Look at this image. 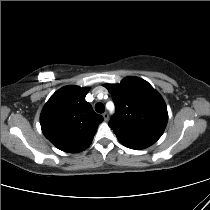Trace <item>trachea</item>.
<instances>
[{
  "instance_id": "1",
  "label": "trachea",
  "mask_w": 210,
  "mask_h": 210,
  "mask_svg": "<svg viewBox=\"0 0 210 210\" xmlns=\"http://www.w3.org/2000/svg\"><path fill=\"white\" fill-rule=\"evenodd\" d=\"M95 110L98 113H103L105 111V107L102 103L99 102L95 105Z\"/></svg>"
}]
</instances>
